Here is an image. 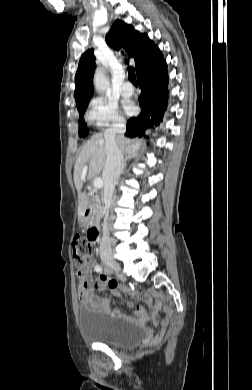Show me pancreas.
Masks as SVG:
<instances>
[{
    "label": "pancreas",
    "instance_id": "cf45deb5",
    "mask_svg": "<svg viewBox=\"0 0 252 390\" xmlns=\"http://www.w3.org/2000/svg\"><path fill=\"white\" fill-rule=\"evenodd\" d=\"M93 201H96V197L93 195ZM97 212V209L95 210Z\"/></svg>",
    "mask_w": 252,
    "mask_h": 390
}]
</instances>
